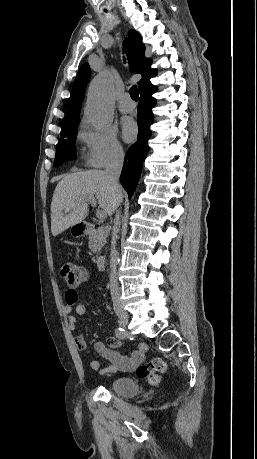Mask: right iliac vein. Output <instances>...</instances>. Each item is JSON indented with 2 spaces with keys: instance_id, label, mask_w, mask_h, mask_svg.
Segmentation results:
<instances>
[{
  "instance_id": "obj_1",
  "label": "right iliac vein",
  "mask_w": 257,
  "mask_h": 459,
  "mask_svg": "<svg viewBox=\"0 0 257 459\" xmlns=\"http://www.w3.org/2000/svg\"><path fill=\"white\" fill-rule=\"evenodd\" d=\"M116 314L119 318V323L122 327H126L129 323V315L128 313L122 309L121 307L116 308Z\"/></svg>"
}]
</instances>
